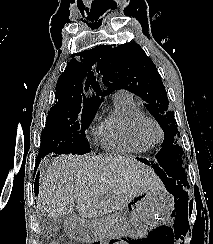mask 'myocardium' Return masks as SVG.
Masks as SVG:
<instances>
[{
    "label": "myocardium",
    "instance_id": "1",
    "mask_svg": "<svg viewBox=\"0 0 213 244\" xmlns=\"http://www.w3.org/2000/svg\"><path fill=\"white\" fill-rule=\"evenodd\" d=\"M147 125H152L156 129L157 136L155 138L149 137L146 134L145 128ZM133 129L139 139H141L144 142L149 143L150 145L158 144L164 138V131H163L162 126L155 118L150 117V116L143 115V116L139 117L134 122Z\"/></svg>",
    "mask_w": 213,
    "mask_h": 244
}]
</instances>
